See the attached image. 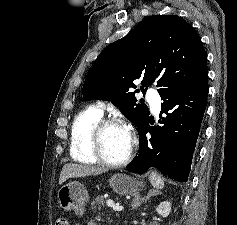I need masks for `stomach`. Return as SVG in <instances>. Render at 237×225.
I'll return each mask as SVG.
<instances>
[{"label": "stomach", "instance_id": "stomach-1", "mask_svg": "<svg viewBox=\"0 0 237 225\" xmlns=\"http://www.w3.org/2000/svg\"><path fill=\"white\" fill-rule=\"evenodd\" d=\"M110 187L119 195H133L139 191L142 182L125 174H114L109 179ZM60 207L64 210H73L82 215L89 199L88 192L83 184L72 181L61 186L57 193Z\"/></svg>", "mask_w": 237, "mask_h": 225}]
</instances>
